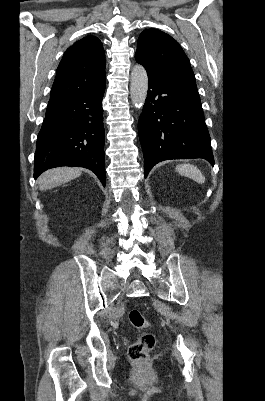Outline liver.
<instances>
[{
	"label": "liver",
	"mask_w": 265,
	"mask_h": 401,
	"mask_svg": "<svg viewBox=\"0 0 265 401\" xmlns=\"http://www.w3.org/2000/svg\"><path fill=\"white\" fill-rule=\"evenodd\" d=\"M81 170L82 168H71V166H59V168L46 170L39 176V188L40 190H48V188L65 184V182L81 176Z\"/></svg>",
	"instance_id": "6515ba94"
}]
</instances>
